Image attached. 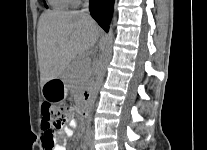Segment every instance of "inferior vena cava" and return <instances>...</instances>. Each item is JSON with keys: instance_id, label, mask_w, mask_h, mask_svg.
I'll return each mask as SVG.
<instances>
[{"instance_id": "602c4592", "label": "inferior vena cava", "mask_w": 207, "mask_h": 150, "mask_svg": "<svg viewBox=\"0 0 207 150\" xmlns=\"http://www.w3.org/2000/svg\"><path fill=\"white\" fill-rule=\"evenodd\" d=\"M88 4H89V1L88 0H85L84 1V5H83L84 9L81 10V12H83L86 15H89Z\"/></svg>"}]
</instances>
